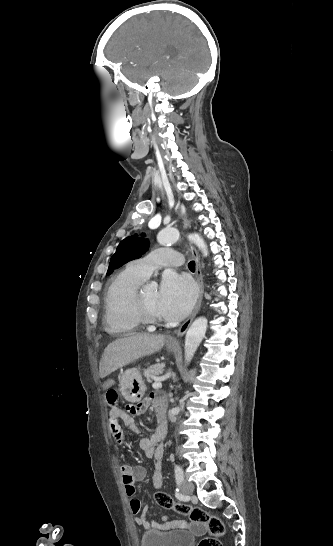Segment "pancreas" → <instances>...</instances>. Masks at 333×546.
<instances>
[{"mask_svg": "<svg viewBox=\"0 0 333 546\" xmlns=\"http://www.w3.org/2000/svg\"><path fill=\"white\" fill-rule=\"evenodd\" d=\"M165 364H155L147 367L144 370V376L147 380H150L152 377L160 376L163 374Z\"/></svg>", "mask_w": 333, "mask_h": 546, "instance_id": "cf45deb5", "label": "pancreas"}]
</instances>
